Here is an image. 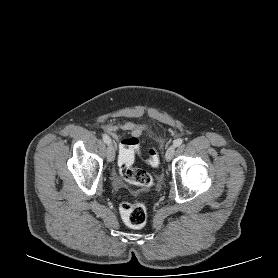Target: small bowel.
I'll list each match as a JSON object with an SVG mask.
<instances>
[{"instance_id": "c3829d8e", "label": "small bowel", "mask_w": 278, "mask_h": 278, "mask_svg": "<svg viewBox=\"0 0 278 278\" xmlns=\"http://www.w3.org/2000/svg\"><path fill=\"white\" fill-rule=\"evenodd\" d=\"M105 131L115 139H119L123 133H127L134 138L141 136L145 126L132 121L122 123H108L104 125Z\"/></svg>"}]
</instances>
